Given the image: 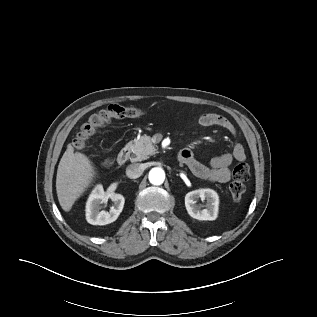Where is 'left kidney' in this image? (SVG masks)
I'll return each mask as SVG.
<instances>
[{
  "label": "left kidney",
  "mask_w": 317,
  "mask_h": 317,
  "mask_svg": "<svg viewBox=\"0 0 317 317\" xmlns=\"http://www.w3.org/2000/svg\"><path fill=\"white\" fill-rule=\"evenodd\" d=\"M206 200L205 209L197 202ZM219 197L212 189H198L185 196V207L188 214L197 220H215L218 215Z\"/></svg>",
  "instance_id": "left-kidney-1"
}]
</instances>
